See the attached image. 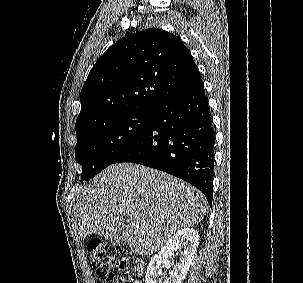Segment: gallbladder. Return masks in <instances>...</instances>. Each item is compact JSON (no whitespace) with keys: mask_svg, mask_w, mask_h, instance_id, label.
Returning a JSON list of instances; mask_svg holds the SVG:
<instances>
[{"mask_svg":"<svg viewBox=\"0 0 303 283\" xmlns=\"http://www.w3.org/2000/svg\"><path fill=\"white\" fill-rule=\"evenodd\" d=\"M124 232H125V229L123 228V227H120L119 229H118V231L114 234V235H110V236H108V240L112 243V244H114V245H116V246H120L121 244H122V238H123V234H124Z\"/></svg>","mask_w":303,"mask_h":283,"instance_id":"1","label":"gallbladder"}]
</instances>
